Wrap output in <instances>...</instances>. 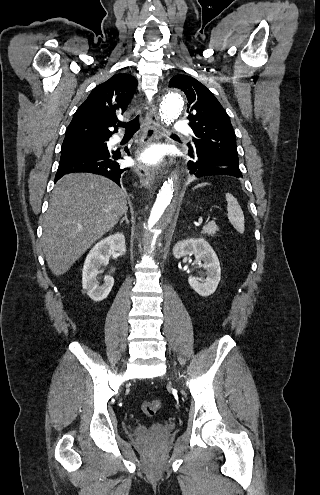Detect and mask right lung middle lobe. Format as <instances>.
I'll return each instance as SVG.
<instances>
[{
  "instance_id": "1",
  "label": "right lung middle lobe",
  "mask_w": 320,
  "mask_h": 495,
  "mask_svg": "<svg viewBox=\"0 0 320 495\" xmlns=\"http://www.w3.org/2000/svg\"><path fill=\"white\" fill-rule=\"evenodd\" d=\"M108 138H84L77 140L64 141L62 150L64 149H105L107 148L106 141Z\"/></svg>"
}]
</instances>
